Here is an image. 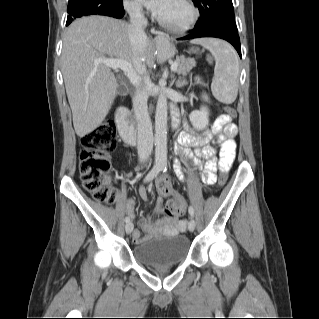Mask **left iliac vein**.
Listing matches in <instances>:
<instances>
[{"label": "left iliac vein", "instance_id": "1", "mask_svg": "<svg viewBox=\"0 0 319 319\" xmlns=\"http://www.w3.org/2000/svg\"><path fill=\"white\" fill-rule=\"evenodd\" d=\"M195 229V220L193 218H191L188 222V230L189 231H194Z\"/></svg>", "mask_w": 319, "mask_h": 319}]
</instances>
